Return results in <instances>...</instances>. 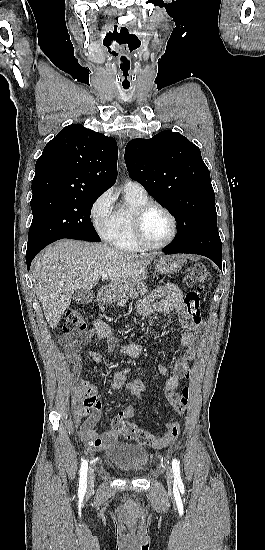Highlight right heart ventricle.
<instances>
[{
	"label": "right heart ventricle",
	"instance_id": "e07e8e85",
	"mask_svg": "<svg viewBox=\"0 0 265 550\" xmlns=\"http://www.w3.org/2000/svg\"><path fill=\"white\" fill-rule=\"evenodd\" d=\"M147 202V194L125 189V201L113 212L106 237L113 247L123 252H136L141 249L134 238L132 222L136 209Z\"/></svg>",
	"mask_w": 265,
	"mask_h": 550
}]
</instances>
